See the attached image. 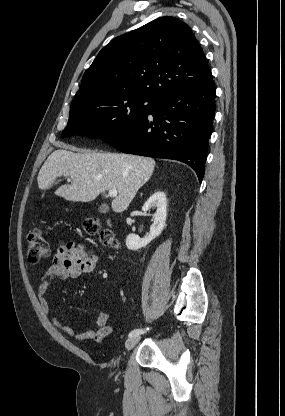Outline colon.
I'll use <instances>...</instances> for the list:
<instances>
[{
  "label": "colon",
  "mask_w": 285,
  "mask_h": 416,
  "mask_svg": "<svg viewBox=\"0 0 285 416\" xmlns=\"http://www.w3.org/2000/svg\"><path fill=\"white\" fill-rule=\"evenodd\" d=\"M85 231L96 236L104 246H116L114 234L107 229H102L98 220L89 218L84 221ZM27 258L31 263H37L49 256L50 248L47 240L38 229L31 230L26 237Z\"/></svg>",
  "instance_id": "5ec220e1"
}]
</instances>
